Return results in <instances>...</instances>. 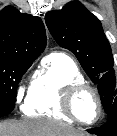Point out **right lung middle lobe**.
<instances>
[{
    "label": "right lung middle lobe",
    "mask_w": 117,
    "mask_h": 136,
    "mask_svg": "<svg viewBox=\"0 0 117 136\" xmlns=\"http://www.w3.org/2000/svg\"><path fill=\"white\" fill-rule=\"evenodd\" d=\"M33 61L0 57V103L15 105L18 83Z\"/></svg>",
    "instance_id": "obj_1"
}]
</instances>
